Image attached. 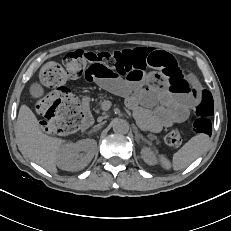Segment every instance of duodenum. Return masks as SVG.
I'll return each instance as SVG.
<instances>
[{"label":"duodenum","instance_id":"410a0bca","mask_svg":"<svg viewBox=\"0 0 231 231\" xmlns=\"http://www.w3.org/2000/svg\"><path fill=\"white\" fill-rule=\"evenodd\" d=\"M81 112H82V124L84 128L89 127L93 121L89 105L84 104L82 106Z\"/></svg>","mask_w":231,"mask_h":231}]
</instances>
